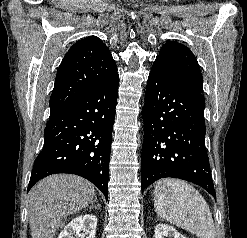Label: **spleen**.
<instances>
[{"label":"spleen","mask_w":247,"mask_h":238,"mask_svg":"<svg viewBox=\"0 0 247 238\" xmlns=\"http://www.w3.org/2000/svg\"><path fill=\"white\" fill-rule=\"evenodd\" d=\"M157 214L200 238H215L209 206L192 185L173 178L159 180L154 186Z\"/></svg>","instance_id":"spleen-1"}]
</instances>
